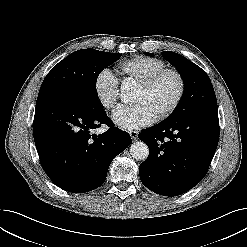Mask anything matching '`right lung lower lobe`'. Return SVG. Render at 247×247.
I'll return each mask as SVG.
<instances>
[{"label":"right lung lower lobe","mask_w":247,"mask_h":247,"mask_svg":"<svg viewBox=\"0 0 247 247\" xmlns=\"http://www.w3.org/2000/svg\"><path fill=\"white\" fill-rule=\"evenodd\" d=\"M106 124L99 135L90 132ZM34 141L43 170L60 188L84 193L101 186L111 161L131 143L103 108L92 109L62 92L38 96Z\"/></svg>","instance_id":"1"}]
</instances>
